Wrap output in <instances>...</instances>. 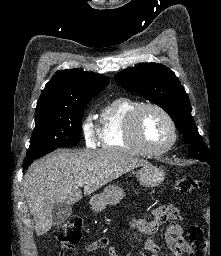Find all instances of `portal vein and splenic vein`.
<instances>
[{
    "label": "portal vein and splenic vein",
    "mask_w": 221,
    "mask_h": 256,
    "mask_svg": "<svg viewBox=\"0 0 221 256\" xmlns=\"http://www.w3.org/2000/svg\"><path fill=\"white\" fill-rule=\"evenodd\" d=\"M85 184V182L81 181L78 183L79 186H83Z\"/></svg>",
    "instance_id": "18ae733b"
}]
</instances>
